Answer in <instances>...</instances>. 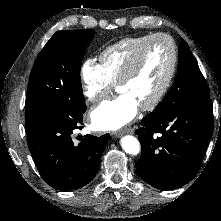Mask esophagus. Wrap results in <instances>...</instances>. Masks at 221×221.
Masks as SVG:
<instances>
[{
  "label": "esophagus",
  "mask_w": 221,
  "mask_h": 221,
  "mask_svg": "<svg viewBox=\"0 0 221 221\" xmlns=\"http://www.w3.org/2000/svg\"><path fill=\"white\" fill-rule=\"evenodd\" d=\"M125 133L133 134L134 133V129L133 128H126L125 130L117 131V132L114 133V136L119 138V137H121Z\"/></svg>",
  "instance_id": "obj_1"
}]
</instances>
